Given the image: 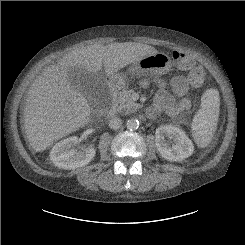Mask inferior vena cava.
<instances>
[{"mask_svg":"<svg viewBox=\"0 0 245 245\" xmlns=\"http://www.w3.org/2000/svg\"><path fill=\"white\" fill-rule=\"evenodd\" d=\"M109 126L111 129H119L122 126V120L118 117H114L109 121Z\"/></svg>","mask_w":245,"mask_h":245,"instance_id":"inferior-vena-cava-1","label":"inferior vena cava"}]
</instances>
